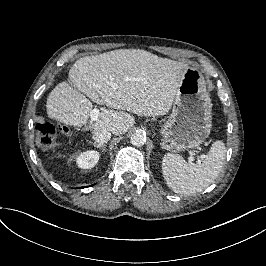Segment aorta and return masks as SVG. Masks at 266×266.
Listing matches in <instances>:
<instances>
[{
	"mask_svg": "<svg viewBox=\"0 0 266 266\" xmlns=\"http://www.w3.org/2000/svg\"><path fill=\"white\" fill-rule=\"evenodd\" d=\"M130 142L134 146H142L146 142V133L143 131H135L130 137Z\"/></svg>",
	"mask_w": 266,
	"mask_h": 266,
	"instance_id": "1",
	"label": "aorta"
}]
</instances>
